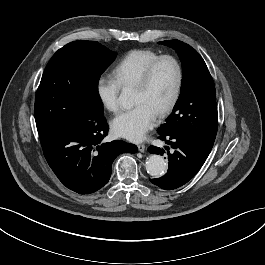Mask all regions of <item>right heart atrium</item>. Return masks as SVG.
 <instances>
[{
	"label": "right heart atrium",
	"instance_id": "1",
	"mask_svg": "<svg viewBox=\"0 0 265 265\" xmlns=\"http://www.w3.org/2000/svg\"><path fill=\"white\" fill-rule=\"evenodd\" d=\"M120 85L111 75H101L96 81V95L101 105L110 112H117Z\"/></svg>",
	"mask_w": 265,
	"mask_h": 265
}]
</instances>
